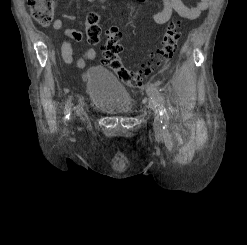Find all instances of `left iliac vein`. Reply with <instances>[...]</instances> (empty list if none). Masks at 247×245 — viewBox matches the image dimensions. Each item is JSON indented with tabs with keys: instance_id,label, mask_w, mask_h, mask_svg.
<instances>
[{
	"instance_id": "4c4485c4",
	"label": "left iliac vein",
	"mask_w": 247,
	"mask_h": 245,
	"mask_svg": "<svg viewBox=\"0 0 247 245\" xmlns=\"http://www.w3.org/2000/svg\"><path fill=\"white\" fill-rule=\"evenodd\" d=\"M150 105H151V108L154 112V122H153L154 129L157 132H160L162 129V124H161L160 117L158 115V110H157L156 106L154 105V103L151 102Z\"/></svg>"
}]
</instances>
